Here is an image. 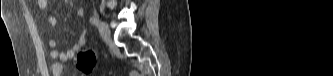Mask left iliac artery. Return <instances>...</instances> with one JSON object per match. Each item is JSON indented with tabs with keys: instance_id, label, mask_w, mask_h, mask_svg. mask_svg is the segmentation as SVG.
Masks as SVG:
<instances>
[{
	"instance_id": "44dca946",
	"label": "left iliac artery",
	"mask_w": 333,
	"mask_h": 76,
	"mask_svg": "<svg viewBox=\"0 0 333 76\" xmlns=\"http://www.w3.org/2000/svg\"><path fill=\"white\" fill-rule=\"evenodd\" d=\"M90 22L94 25H98L99 23V19L96 15H93L91 18H90Z\"/></svg>"
}]
</instances>
